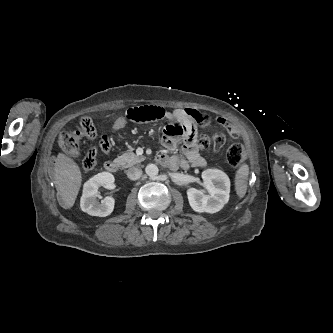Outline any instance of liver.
<instances>
[{
    "label": "liver",
    "instance_id": "6515ba94",
    "mask_svg": "<svg viewBox=\"0 0 333 333\" xmlns=\"http://www.w3.org/2000/svg\"><path fill=\"white\" fill-rule=\"evenodd\" d=\"M55 181L58 195L63 205L71 208L81 187V171L77 163L63 153L55 161Z\"/></svg>",
    "mask_w": 333,
    "mask_h": 333
}]
</instances>
